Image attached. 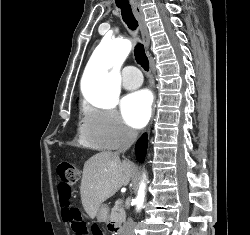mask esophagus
Here are the masks:
<instances>
[{"mask_svg":"<svg viewBox=\"0 0 250 235\" xmlns=\"http://www.w3.org/2000/svg\"><path fill=\"white\" fill-rule=\"evenodd\" d=\"M133 10H134L136 19L139 23V29H140L142 41L144 43L145 48L148 49L150 45V38H149L148 28L144 19L142 7L140 6V4H135L133 6Z\"/></svg>","mask_w":250,"mask_h":235,"instance_id":"esophagus-1","label":"esophagus"}]
</instances>
